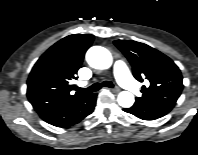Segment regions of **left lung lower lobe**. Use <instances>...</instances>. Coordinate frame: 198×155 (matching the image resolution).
I'll use <instances>...</instances> for the list:
<instances>
[{
  "label": "left lung lower lobe",
  "mask_w": 198,
  "mask_h": 155,
  "mask_svg": "<svg viewBox=\"0 0 198 155\" xmlns=\"http://www.w3.org/2000/svg\"><path fill=\"white\" fill-rule=\"evenodd\" d=\"M173 107L168 104L148 105L135 102L132 107L123 110L143 120H155L169 113Z\"/></svg>",
  "instance_id": "obj_1"
}]
</instances>
